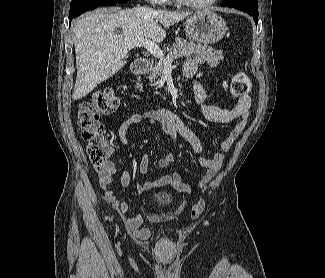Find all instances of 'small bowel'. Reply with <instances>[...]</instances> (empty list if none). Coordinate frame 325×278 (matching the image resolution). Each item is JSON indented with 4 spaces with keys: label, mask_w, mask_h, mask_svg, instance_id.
I'll list each match as a JSON object with an SVG mask.
<instances>
[{
    "label": "small bowel",
    "mask_w": 325,
    "mask_h": 278,
    "mask_svg": "<svg viewBox=\"0 0 325 278\" xmlns=\"http://www.w3.org/2000/svg\"><path fill=\"white\" fill-rule=\"evenodd\" d=\"M197 66L196 59L188 58L184 63V74L186 77L192 78L195 100L204 117L214 123H228L238 119L229 136L221 144V150L226 152L232 147L247 124L252 102L251 97L247 93L240 95L236 105L231 110L207 104L205 88L196 77ZM141 123L160 126L163 132L170 137H181L184 139L195 152L201 153L203 151L202 143L196 133L175 112L168 109H154L131 114L118 129V137L123 145L129 144L127 137L129 127ZM173 160L174 154L172 152L162 154L157 160V167L159 169H167ZM223 161L224 154L221 152L214 154L212 157H200L199 165L205 170V173L196 183H184L177 172L171 171L154 182L138 183L136 185V191L141 193L159 185L172 186L180 191L204 189L219 171ZM148 169L149 157L148 155H144L140 161V171L142 174H147ZM98 177L100 186L105 191L106 198L124 211L126 208L125 203L117 197L116 192L110 187L116 181L123 187L128 186L131 183L130 173L127 170L119 173L114 162L107 160L105 167L98 171Z\"/></svg>",
    "instance_id": "obj_1"
}]
</instances>
